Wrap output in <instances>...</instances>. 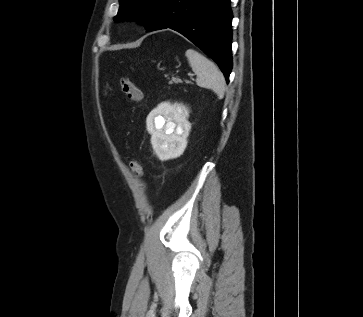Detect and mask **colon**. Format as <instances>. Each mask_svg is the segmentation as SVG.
I'll use <instances>...</instances> for the list:
<instances>
[{"instance_id": "5ec220e1", "label": "colon", "mask_w": 363, "mask_h": 317, "mask_svg": "<svg viewBox=\"0 0 363 317\" xmlns=\"http://www.w3.org/2000/svg\"><path fill=\"white\" fill-rule=\"evenodd\" d=\"M120 86L122 92L125 94L128 100L132 102L140 101L142 97L141 90L131 79L122 77L120 79ZM106 89L108 90L109 87L107 86ZM130 168L135 177L141 178L143 176V166L139 160H132L130 163Z\"/></svg>"}]
</instances>
